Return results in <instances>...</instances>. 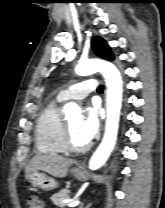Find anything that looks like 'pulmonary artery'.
<instances>
[{"mask_svg":"<svg viewBox=\"0 0 165 208\" xmlns=\"http://www.w3.org/2000/svg\"><path fill=\"white\" fill-rule=\"evenodd\" d=\"M98 89V82L96 79H88L86 81L77 83L72 87L63 90L58 95L59 101L68 100H81L84 99L89 93Z\"/></svg>","mask_w":165,"mask_h":208,"instance_id":"pulmonary-artery-1","label":"pulmonary artery"}]
</instances>
